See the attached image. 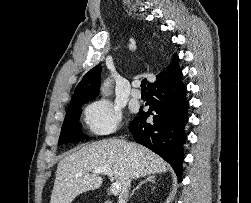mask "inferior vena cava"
<instances>
[{
	"label": "inferior vena cava",
	"mask_w": 251,
	"mask_h": 203,
	"mask_svg": "<svg viewBox=\"0 0 251 203\" xmlns=\"http://www.w3.org/2000/svg\"><path fill=\"white\" fill-rule=\"evenodd\" d=\"M131 185V179H128L122 189V192L119 196V203H127L129 197V188Z\"/></svg>",
	"instance_id": "602c4592"
}]
</instances>
